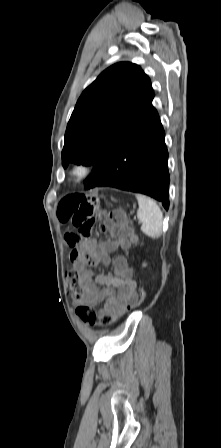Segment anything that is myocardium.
<instances>
[{
	"instance_id": "1",
	"label": "myocardium",
	"mask_w": 221,
	"mask_h": 448,
	"mask_svg": "<svg viewBox=\"0 0 221 448\" xmlns=\"http://www.w3.org/2000/svg\"><path fill=\"white\" fill-rule=\"evenodd\" d=\"M95 173L94 165L86 162L77 163L71 170V176L78 182L90 179Z\"/></svg>"
}]
</instances>
